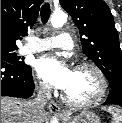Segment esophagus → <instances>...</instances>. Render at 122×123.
Returning a JSON list of instances; mask_svg holds the SVG:
<instances>
[{
  "label": "esophagus",
  "mask_w": 122,
  "mask_h": 123,
  "mask_svg": "<svg viewBox=\"0 0 122 123\" xmlns=\"http://www.w3.org/2000/svg\"><path fill=\"white\" fill-rule=\"evenodd\" d=\"M49 110H50L51 113H54V114H57V115H60V116L65 114V112H63L61 110L60 106L54 101H51L49 103Z\"/></svg>",
  "instance_id": "34e87169"
}]
</instances>
